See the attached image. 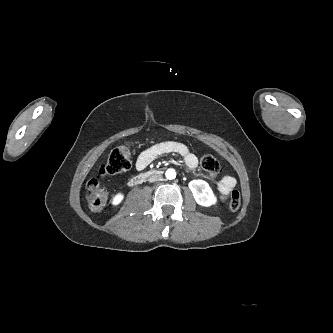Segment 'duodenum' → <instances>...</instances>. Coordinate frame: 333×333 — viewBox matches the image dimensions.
<instances>
[{"label":"duodenum","instance_id":"obj_1","mask_svg":"<svg viewBox=\"0 0 333 333\" xmlns=\"http://www.w3.org/2000/svg\"><path fill=\"white\" fill-rule=\"evenodd\" d=\"M161 174L162 171L160 169H152L146 172L139 173L130 178L129 185L130 186L140 185L143 182H145L148 178L157 177L160 176Z\"/></svg>","mask_w":333,"mask_h":333}]
</instances>
